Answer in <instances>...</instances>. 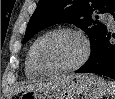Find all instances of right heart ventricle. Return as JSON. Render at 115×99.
Instances as JSON below:
<instances>
[{"label": "right heart ventricle", "instance_id": "e07e8e85", "mask_svg": "<svg viewBox=\"0 0 115 99\" xmlns=\"http://www.w3.org/2000/svg\"><path fill=\"white\" fill-rule=\"evenodd\" d=\"M24 71H25L26 77L30 79H34L42 75L40 72L36 70V68L33 65L32 57H31V48L27 52V55L25 58Z\"/></svg>", "mask_w": 115, "mask_h": 99}]
</instances>
